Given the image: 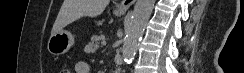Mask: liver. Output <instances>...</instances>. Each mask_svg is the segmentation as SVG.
I'll return each mask as SVG.
<instances>
[{
  "label": "liver",
  "mask_w": 244,
  "mask_h": 73,
  "mask_svg": "<svg viewBox=\"0 0 244 73\" xmlns=\"http://www.w3.org/2000/svg\"><path fill=\"white\" fill-rule=\"evenodd\" d=\"M108 4L109 0H64L52 27L51 35L63 30L81 17L100 15Z\"/></svg>",
  "instance_id": "6515ba94"
}]
</instances>
